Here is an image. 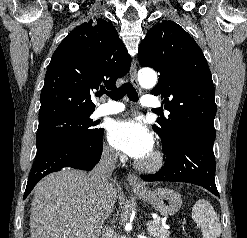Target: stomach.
I'll use <instances>...</instances> for the list:
<instances>
[{"label": "stomach", "mask_w": 247, "mask_h": 238, "mask_svg": "<svg viewBox=\"0 0 247 238\" xmlns=\"http://www.w3.org/2000/svg\"><path fill=\"white\" fill-rule=\"evenodd\" d=\"M137 195L150 203L163 216L176 214L182 205L181 195L167 188H158L153 191H137Z\"/></svg>", "instance_id": "0dacf381"}]
</instances>
